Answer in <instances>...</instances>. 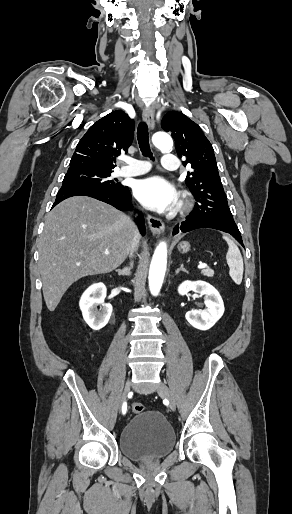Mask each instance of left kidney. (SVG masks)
I'll list each match as a JSON object with an SVG mask.
<instances>
[{"label": "left kidney", "instance_id": "obj_1", "mask_svg": "<svg viewBox=\"0 0 292 514\" xmlns=\"http://www.w3.org/2000/svg\"><path fill=\"white\" fill-rule=\"evenodd\" d=\"M191 290L196 292V294H200V296H205L204 304L207 308L206 310H191V312H187L185 318L197 330H210L224 314L223 300L219 292L211 284L202 282V280H198V282L186 280L178 288L181 296H185Z\"/></svg>", "mask_w": 292, "mask_h": 514}]
</instances>
